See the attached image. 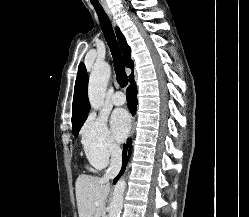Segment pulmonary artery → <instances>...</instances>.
Wrapping results in <instances>:
<instances>
[{"label":"pulmonary artery","instance_id":"pulmonary-artery-1","mask_svg":"<svg viewBox=\"0 0 249 217\" xmlns=\"http://www.w3.org/2000/svg\"><path fill=\"white\" fill-rule=\"evenodd\" d=\"M112 103L114 105H123L126 101L125 95L121 91H117L112 95Z\"/></svg>","mask_w":249,"mask_h":217}]
</instances>
